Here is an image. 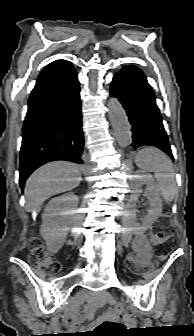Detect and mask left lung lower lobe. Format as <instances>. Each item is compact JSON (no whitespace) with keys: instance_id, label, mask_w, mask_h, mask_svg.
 <instances>
[{"instance_id":"0a47b994","label":"left lung lower lobe","mask_w":194,"mask_h":336,"mask_svg":"<svg viewBox=\"0 0 194 336\" xmlns=\"http://www.w3.org/2000/svg\"><path fill=\"white\" fill-rule=\"evenodd\" d=\"M110 94L117 98L132 125V147L154 146L173 158L155 95L144 73L125 66L113 77Z\"/></svg>"}]
</instances>
